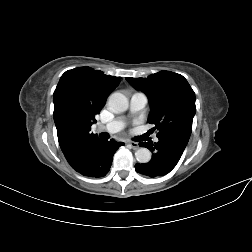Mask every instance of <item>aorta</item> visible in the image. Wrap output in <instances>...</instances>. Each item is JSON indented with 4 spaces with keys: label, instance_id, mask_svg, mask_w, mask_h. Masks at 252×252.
I'll use <instances>...</instances> for the list:
<instances>
[{
    "label": "aorta",
    "instance_id": "1",
    "mask_svg": "<svg viewBox=\"0 0 252 252\" xmlns=\"http://www.w3.org/2000/svg\"><path fill=\"white\" fill-rule=\"evenodd\" d=\"M108 105L116 112H124L128 109L129 101L124 94L114 92L108 98ZM135 157L140 163H148L151 160V152L149 149L142 147L135 152Z\"/></svg>",
    "mask_w": 252,
    "mask_h": 252
}]
</instances>
